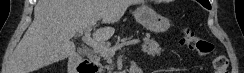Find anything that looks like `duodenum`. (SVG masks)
I'll return each mask as SVG.
<instances>
[{"label":"duodenum","instance_id":"1","mask_svg":"<svg viewBox=\"0 0 244 73\" xmlns=\"http://www.w3.org/2000/svg\"><path fill=\"white\" fill-rule=\"evenodd\" d=\"M133 66L130 69V73H133L135 71ZM68 72L69 73H94L95 66L89 60L82 58V56L78 52H75L69 59Z\"/></svg>","mask_w":244,"mask_h":73}]
</instances>
